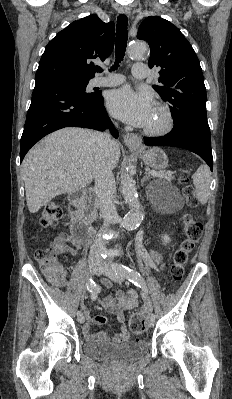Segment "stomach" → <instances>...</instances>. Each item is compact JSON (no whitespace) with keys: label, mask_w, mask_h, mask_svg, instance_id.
<instances>
[{"label":"stomach","mask_w":232,"mask_h":399,"mask_svg":"<svg viewBox=\"0 0 232 399\" xmlns=\"http://www.w3.org/2000/svg\"><path fill=\"white\" fill-rule=\"evenodd\" d=\"M140 148L141 150H133V148H131V150L132 152L140 154L142 160H144L147 166H150L153 170H164V168H167L168 158L163 150H160V148H150V150H145L144 146H141V144Z\"/></svg>","instance_id":"0dacf381"}]
</instances>
